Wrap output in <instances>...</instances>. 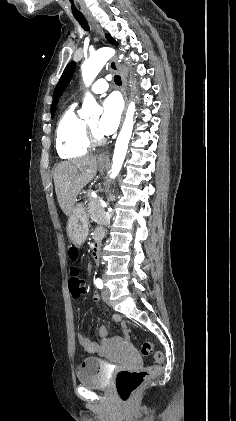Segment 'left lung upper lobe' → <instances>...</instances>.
Segmentation results:
<instances>
[{"mask_svg":"<svg viewBox=\"0 0 236 421\" xmlns=\"http://www.w3.org/2000/svg\"><path fill=\"white\" fill-rule=\"evenodd\" d=\"M106 38H107V40L111 44L118 45V43L116 42V40L113 39L110 36V34H106ZM74 69H75V62L72 61L64 69V72H63V74H62V76H61V78H60V80H59V82H58V84L56 86V89H55V92H54V96H53L54 97V102H53L52 108H51L52 117L54 115V108H55V105H56L57 98L61 95V93L63 92V90L65 89V87L68 85L70 79L73 76Z\"/></svg>","mask_w":236,"mask_h":421,"instance_id":"left-lung-upper-lobe-1","label":"left lung upper lobe"}]
</instances>
